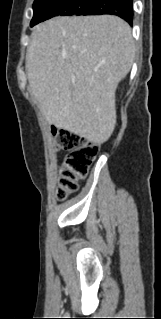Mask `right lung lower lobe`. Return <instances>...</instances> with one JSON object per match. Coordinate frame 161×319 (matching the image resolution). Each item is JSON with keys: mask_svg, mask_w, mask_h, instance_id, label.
Here are the masks:
<instances>
[{"mask_svg": "<svg viewBox=\"0 0 161 319\" xmlns=\"http://www.w3.org/2000/svg\"><path fill=\"white\" fill-rule=\"evenodd\" d=\"M133 0H92L90 4L76 15H116L132 25Z\"/></svg>", "mask_w": 161, "mask_h": 319, "instance_id": "obj_1", "label": "right lung lower lobe"}]
</instances>
